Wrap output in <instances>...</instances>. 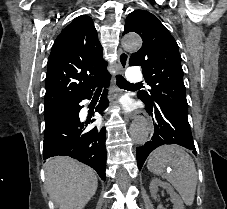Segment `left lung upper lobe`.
I'll return each mask as SVG.
<instances>
[{
  "label": "left lung upper lobe",
  "instance_id": "5c2ea615",
  "mask_svg": "<svg viewBox=\"0 0 227 209\" xmlns=\"http://www.w3.org/2000/svg\"><path fill=\"white\" fill-rule=\"evenodd\" d=\"M128 32L139 34L142 48L131 55L130 66H140L149 93L138 94L146 106L167 103L182 113L188 112L183 82L181 56L175 39L152 13L136 10L126 18L123 35Z\"/></svg>",
  "mask_w": 227,
  "mask_h": 209
}]
</instances>
